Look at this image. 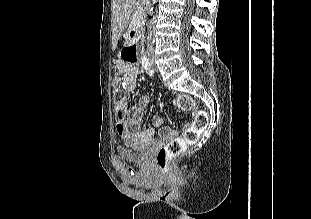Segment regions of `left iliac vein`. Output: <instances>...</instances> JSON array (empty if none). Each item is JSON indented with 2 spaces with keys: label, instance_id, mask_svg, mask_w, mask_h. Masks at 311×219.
<instances>
[{
  "label": "left iliac vein",
  "instance_id": "1",
  "mask_svg": "<svg viewBox=\"0 0 311 219\" xmlns=\"http://www.w3.org/2000/svg\"><path fill=\"white\" fill-rule=\"evenodd\" d=\"M151 68H153V69L157 68L155 61H154V58H151Z\"/></svg>",
  "mask_w": 311,
  "mask_h": 219
}]
</instances>
